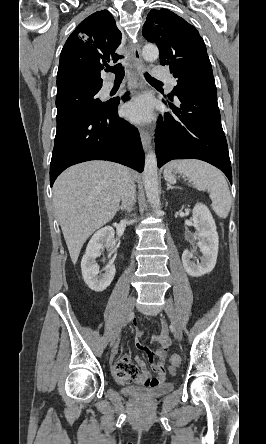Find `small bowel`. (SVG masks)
<instances>
[{
	"instance_id": "obj_1",
	"label": "small bowel",
	"mask_w": 266,
	"mask_h": 444,
	"mask_svg": "<svg viewBox=\"0 0 266 444\" xmlns=\"http://www.w3.org/2000/svg\"><path fill=\"white\" fill-rule=\"evenodd\" d=\"M142 332L137 331L135 335V345L141 350L152 363V368L156 372L155 377H151L145 362L139 358H135L132 363L127 355L121 357L120 360L112 365V373L116 380L121 384L135 383L143 387H154L166 382L165 361L168 347L171 343L169 329L163 321L161 332L153 336L154 341L159 345L156 351H152L141 343Z\"/></svg>"
}]
</instances>
